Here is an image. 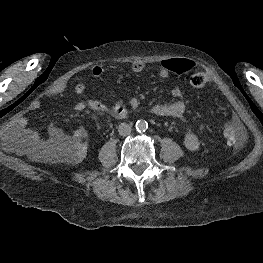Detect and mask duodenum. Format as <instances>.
Returning <instances> with one entry per match:
<instances>
[{"mask_svg":"<svg viewBox=\"0 0 263 263\" xmlns=\"http://www.w3.org/2000/svg\"><path fill=\"white\" fill-rule=\"evenodd\" d=\"M121 114H122V115H124V112H123V110H121Z\"/></svg>","mask_w":263,"mask_h":263,"instance_id":"duodenum-1","label":"duodenum"}]
</instances>
